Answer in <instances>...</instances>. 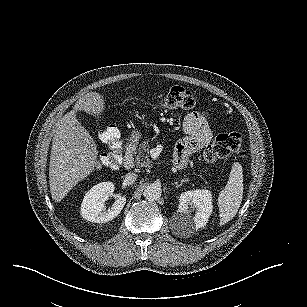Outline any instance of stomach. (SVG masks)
<instances>
[{"label": "stomach", "mask_w": 307, "mask_h": 307, "mask_svg": "<svg viewBox=\"0 0 307 307\" xmlns=\"http://www.w3.org/2000/svg\"><path fill=\"white\" fill-rule=\"evenodd\" d=\"M141 138V133L139 131H132V134H131V142L132 143H137Z\"/></svg>", "instance_id": "stomach-1"}]
</instances>
